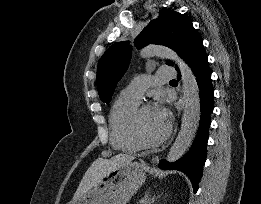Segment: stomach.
<instances>
[{
	"label": "stomach",
	"instance_id": "0dacf381",
	"mask_svg": "<svg viewBox=\"0 0 261 204\" xmlns=\"http://www.w3.org/2000/svg\"><path fill=\"white\" fill-rule=\"evenodd\" d=\"M145 180L144 164L131 162L107 173L97 185L69 204H127Z\"/></svg>",
	"mask_w": 261,
	"mask_h": 204
}]
</instances>
